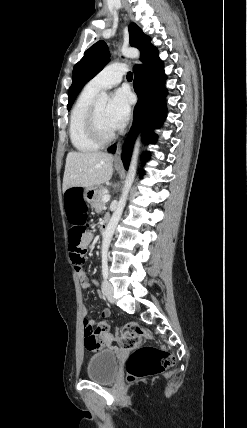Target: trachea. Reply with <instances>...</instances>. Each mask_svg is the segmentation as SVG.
Segmentation results:
<instances>
[{
    "instance_id": "trachea-1",
    "label": "trachea",
    "mask_w": 247,
    "mask_h": 428,
    "mask_svg": "<svg viewBox=\"0 0 247 428\" xmlns=\"http://www.w3.org/2000/svg\"><path fill=\"white\" fill-rule=\"evenodd\" d=\"M132 78H133V74H132V72H128V73H127V79H128V80H132Z\"/></svg>"
}]
</instances>
